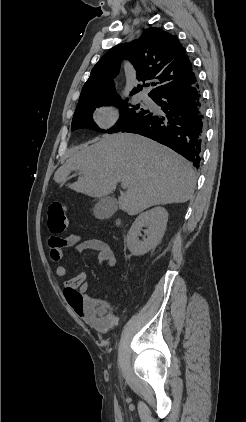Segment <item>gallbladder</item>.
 I'll list each match as a JSON object with an SVG mask.
<instances>
[{
	"label": "gallbladder",
	"mask_w": 246,
	"mask_h": 422,
	"mask_svg": "<svg viewBox=\"0 0 246 422\" xmlns=\"http://www.w3.org/2000/svg\"><path fill=\"white\" fill-rule=\"evenodd\" d=\"M117 208V200L112 196H105L97 201L93 208V213L98 219H108L117 211Z\"/></svg>",
	"instance_id": "gallbladder-1"
}]
</instances>
